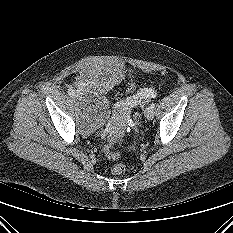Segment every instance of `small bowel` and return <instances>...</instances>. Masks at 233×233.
<instances>
[{
	"label": "small bowel",
	"instance_id": "small-bowel-1",
	"mask_svg": "<svg viewBox=\"0 0 233 233\" xmlns=\"http://www.w3.org/2000/svg\"><path fill=\"white\" fill-rule=\"evenodd\" d=\"M144 99H145V95H135V96L129 97L124 102V106L132 107L134 105L141 104L144 102Z\"/></svg>",
	"mask_w": 233,
	"mask_h": 233
}]
</instances>
